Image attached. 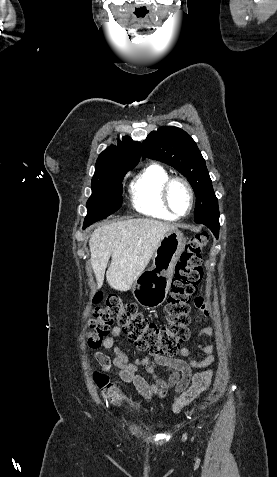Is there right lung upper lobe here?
<instances>
[{"label":"right lung upper lobe","mask_w":277,"mask_h":477,"mask_svg":"<svg viewBox=\"0 0 277 477\" xmlns=\"http://www.w3.org/2000/svg\"><path fill=\"white\" fill-rule=\"evenodd\" d=\"M140 155L141 144L125 136L122 141L118 139L117 147L112 146L101 152L96 162L95 173L116 167L132 169L139 162Z\"/></svg>","instance_id":"cb5924a9"}]
</instances>
